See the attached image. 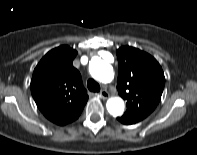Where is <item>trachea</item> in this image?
I'll list each match as a JSON object with an SVG mask.
<instances>
[{
    "label": "trachea",
    "instance_id": "1",
    "mask_svg": "<svg viewBox=\"0 0 197 155\" xmlns=\"http://www.w3.org/2000/svg\"><path fill=\"white\" fill-rule=\"evenodd\" d=\"M87 87L92 92H99L100 91V85L93 79L88 80Z\"/></svg>",
    "mask_w": 197,
    "mask_h": 155
}]
</instances>
